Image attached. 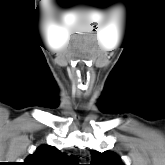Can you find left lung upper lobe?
<instances>
[{"label": "left lung upper lobe", "instance_id": "left-lung-upper-lobe-1", "mask_svg": "<svg viewBox=\"0 0 165 165\" xmlns=\"http://www.w3.org/2000/svg\"><path fill=\"white\" fill-rule=\"evenodd\" d=\"M92 160L90 165H125L120 157L111 151L103 153L92 150Z\"/></svg>", "mask_w": 165, "mask_h": 165}]
</instances>
